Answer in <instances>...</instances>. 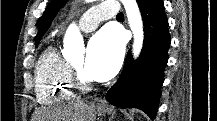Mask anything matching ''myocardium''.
<instances>
[{
	"mask_svg": "<svg viewBox=\"0 0 217 121\" xmlns=\"http://www.w3.org/2000/svg\"><path fill=\"white\" fill-rule=\"evenodd\" d=\"M70 78L73 87L79 91H89L93 87V82L73 65H70Z\"/></svg>",
	"mask_w": 217,
	"mask_h": 121,
	"instance_id": "myocardium-1",
	"label": "myocardium"
}]
</instances>
